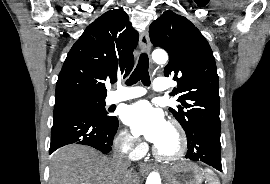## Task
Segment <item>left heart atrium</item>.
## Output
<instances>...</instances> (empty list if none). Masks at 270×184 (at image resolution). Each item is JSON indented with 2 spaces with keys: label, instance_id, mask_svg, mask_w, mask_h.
<instances>
[{
  "label": "left heart atrium",
  "instance_id": "left-heart-atrium-1",
  "mask_svg": "<svg viewBox=\"0 0 270 184\" xmlns=\"http://www.w3.org/2000/svg\"><path fill=\"white\" fill-rule=\"evenodd\" d=\"M123 120L135 136L143 137L155 145L163 139L169 128L163 113L144 100L128 106Z\"/></svg>",
  "mask_w": 270,
  "mask_h": 184
}]
</instances>
